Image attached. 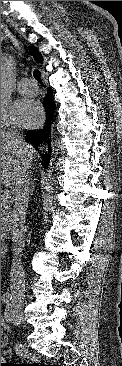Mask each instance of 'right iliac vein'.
Instances as JSON below:
<instances>
[{"label": "right iliac vein", "mask_w": 122, "mask_h": 366, "mask_svg": "<svg viewBox=\"0 0 122 366\" xmlns=\"http://www.w3.org/2000/svg\"><path fill=\"white\" fill-rule=\"evenodd\" d=\"M17 318H18L19 322H23V317H22V315L18 314V315H17Z\"/></svg>", "instance_id": "1"}]
</instances>
